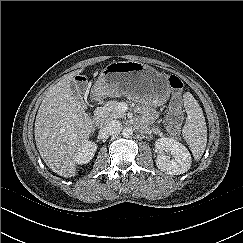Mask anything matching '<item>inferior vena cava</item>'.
Returning <instances> with one entry per match:
<instances>
[{"label": "inferior vena cava", "instance_id": "obj_1", "mask_svg": "<svg viewBox=\"0 0 243 243\" xmlns=\"http://www.w3.org/2000/svg\"><path fill=\"white\" fill-rule=\"evenodd\" d=\"M122 130V123L119 120H110L108 121L103 131L108 135H118Z\"/></svg>", "mask_w": 243, "mask_h": 243}]
</instances>
